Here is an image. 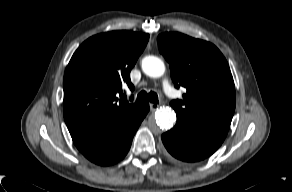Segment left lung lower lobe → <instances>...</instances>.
Here are the masks:
<instances>
[{"label":"left lung lower lobe","instance_id":"0a47b994","mask_svg":"<svg viewBox=\"0 0 292 192\" xmlns=\"http://www.w3.org/2000/svg\"><path fill=\"white\" fill-rule=\"evenodd\" d=\"M227 133L176 123L162 135L167 151L184 162H197L212 155L222 144Z\"/></svg>","mask_w":292,"mask_h":192}]
</instances>
